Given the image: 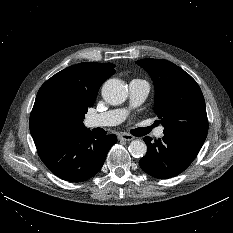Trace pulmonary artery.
I'll list each match as a JSON object with an SVG mask.
<instances>
[{"label":"pulmonary artery","instance_id":"1","mask_svg":"<svg viewBox=\"0 0 233 233\" xmlns=\"http://www.w3.org/2000/svg\"><path fill=\"white\" fill-rule=\"evenodd\" d=\"M149 93V84L142 79H133L129 83V97L131 107L140 105ZM128 109H116L107 111L105 113L90 116L87 119L89 127H109L120 124L128 116ZM164 134V128L159 127L155 131V136L160 138Z\"/></svg>","mask_w":233,"mask_h":233}]
</instances>
